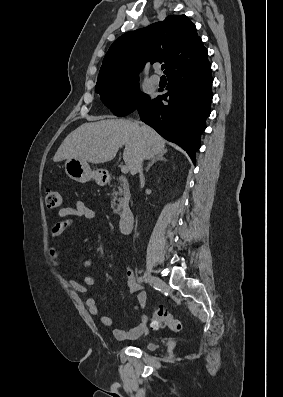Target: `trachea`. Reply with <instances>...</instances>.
I'll return each mask as SVG.
<instances>
[{
    "mask_svg": "<svg viewBox=\"0 0 283 397\" xmlns=\"http://www.w3.org/2000/svg\"><path fill=\"white\" fill-rule=\"evenodd\" d=\"M164 68H165V65H162V66H161V69L163 70Z\"/></svg>",
    "mask_w": 283,
    "mask_h": 397,
    "instance_id": "trachea-1",
    "label": "trachea"
}]
</instances>
